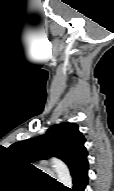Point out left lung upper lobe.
Returning a JSON list of instances; mask_svg holds the SVG:
<instances>
[{
    "label": "left lung upper lobe",
    "mask_w": 114,
    "mask_h": 191,
    "mask_svg": "<svg viewBox=\"0 0 114 191\" xmlns=\"http://www.w3.org/2000/svg\"><path fill=\"white\" fill-rule=\"evenodd\" d=\"M86 139L75 123L54 125L42 135L33 139L19 141L8 149L10 153L25 164L56 156L69 167L71 175L87 161Z\"/></svg>",
    "instance_id": "obj_1"
}]
</instances>
